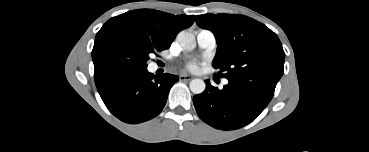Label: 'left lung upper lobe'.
<instances>
[{
    "label": "left lung upper lobe",
    "mask_w": 369,
    "mask_h": 152,
    "mask_svg": "<svg viewBox=\"0 0 369 152\" xmlns=\"http://www.w3.org/2000/svg\"><path fill=\"white\" fill-rule=\"evenodd\" d=\"M196 23L212 31L218 44L215 75L242 83L276 86L284 72L285 53L277 35L264 24L243 15L204 14Z\"/></svg>",
    "instance_id": "obj_1"
}]
</instances>
